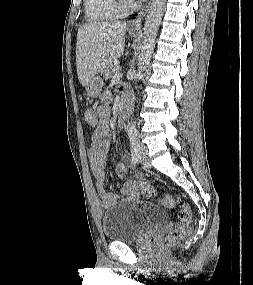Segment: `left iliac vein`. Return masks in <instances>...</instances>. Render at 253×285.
Instances as JSON below:
<instances>
[{
    "label": "left iliac vein",
    "instance_id": "1",
    "mask_svg": "<svg viewBox=\"0 0 253 285\" xmlns=\"http://www.w3.org/2000/svg\"><path fill=\"white\" fill-rule=\"evenodd\" d=\"M137 153H138V158L141 162V164L145 167V168H150L151 167V163L148 157V149L145 145L143 144H138L137 146Z\"/></svg>",
    "mask_w": 253,
    "mask_h": 285
}]
</instances>
